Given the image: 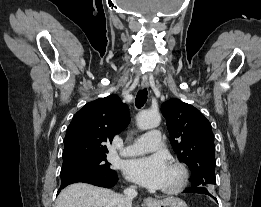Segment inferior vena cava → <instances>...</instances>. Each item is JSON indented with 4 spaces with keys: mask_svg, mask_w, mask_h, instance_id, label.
<instances>
[{
    "mask_svg": "<svg viewBox=\"0 0 261 207\" xmlns=\"http://www.w3.org/2000/svg\"><path fill=\"white\" fill-rule=\"evenodd\" d=\"M137 196L135 186H131L124 190V194L119 196L118 207H131L132 200Z\"/></svg>",
    "mask_w": 261,
    "mask_h": 207,
    "instance_id": "1",
    "label": "inferior vena cava"
}]
</instances>
